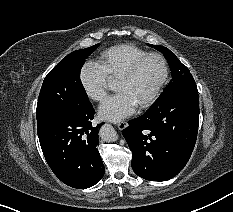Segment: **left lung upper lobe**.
Returning a JSON list of instances; mask_svg holds the SVG:
<instances>
[{
	"mask_svg": "<svg viewBox=\"0 0 233 212\" xmlns=\"http://www.w3.org/2000/svg\"><path fill=\"white\" fill-rule=\"evenodd\" d=\"M148 45L153 47L151 44ZM154 48L164 54L172 71V79L165 87L158 100L167 99L179 93H198L196 83L189 69L178 60L175 54L164 46L155 45Z\"/></svg>",
	"mask_w": 233,
	"mask_h": 212,
	"instance_id": "5c2ea615",
	"label": "left lung upper lobe"
}]
</instances>
